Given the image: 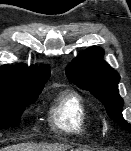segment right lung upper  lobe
<instances>
[{
    "instance_id": "obj_1",
    "label": "right lung upper lobe",
    "mask_w": 131,
    "mask_h": 151,
    "mask_svg": "<svg viewBox=\"0 0 131 151\" xmlns=\"http://www.w3.org/2000/svg\"><path fill=\"white\" fill-rule=\"evenodd\" d=\"M49 76L50 70L46 66L3 65L0 67V87L40 89Z\"/></svg>"
}]
</instances>
